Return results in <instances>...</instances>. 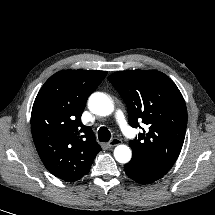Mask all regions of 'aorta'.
I'll return each mask as SVG.
<instances>
[{
    "label": "aorta",
    "mask_w": 215,
    "mask_h": 215,
    "mask_svg": "<svg viewBox=\"0 0 215 215\" xmlns=\"http://www.w3.org/2000/svg\"><path fill=\"white\" fill-rule=\"evenodd\" d=\"M90 110L100 116H108L113 110L114 106L111 99L104 93H93L88 101ZM114 157L120 163H127L131 159V150L126 145H119L114 150Z\"/></svg>",
    "instance_id": "762f6f07"
}]
</instances>
